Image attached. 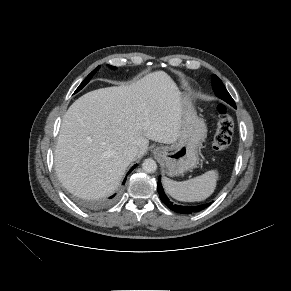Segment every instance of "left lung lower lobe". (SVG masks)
Listing matches in <instances>:
<instances>
[{"label": "left lung lower lobe", "instance_id": "left-lung-lower-lobe-1", "mask_svg": "<svg viewBox=\"0 0 291 291\" xmlns=\"http://www.w3.org/2000/svg\"><path fill=\"white\" fill-rule=\"evenodd\" d=\"M158 193L160 196L161 201L172 211L181 213V214H192L196 213L199 211H202L203 209L207 208L211 203L208 204H201V205H196V206H181V205H176L173 202H171L168 197L165 195L162 184H161V179L159 177L158 179Z\"/></svg>", "mask_w": 291, "mask_h": 291}]
</instances>
